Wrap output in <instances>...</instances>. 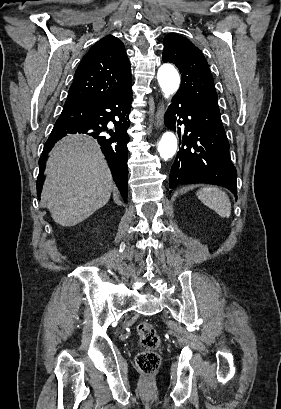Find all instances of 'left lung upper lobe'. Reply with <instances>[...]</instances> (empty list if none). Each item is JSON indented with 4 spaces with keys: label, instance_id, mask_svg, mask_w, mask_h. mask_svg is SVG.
<instances>
[{
    "label": "left lung upper lobe",
    "instance_id": "obj_1",
    "mask_svg": "<svg viewBox=\"0 0 281 409\" xmlns=\"http://www.w3.org/2000/svg\"><path fill=\"white\" fill-rule=\"evenodd\" d=\"M163 43V62L174 63L182 73V83L177 94L220 115L214 80L201 51L188 39L177 34L166 35Z\"/></svg>",
    "mask_w": 281,
    "mask_h": 409
}]
</instances>
